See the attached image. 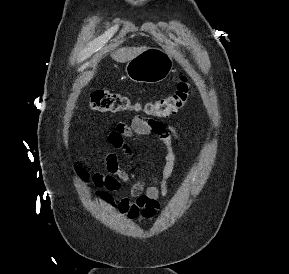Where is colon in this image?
I'll list each match as a JSON object with an SVG mask.
<instances>
[{
    "label": "colon",
    "mask_w": 289,
    "mask_h": 274,
    "mask_svg": "<svg viewBox=\"0 0 289 274\" xmlns=\"http://www.w3.org/2000/svg\"><path fill=\"white\" fill-rule=\"evenodd\" d=\"M190 96V83L186 75H182L176 89L170 96L148 102L143 106L134 104L128 97L106 89H97L90 94V107L100 112H118L143 110L150 117H169L180 111ZM85 177V173L80 171Z\"/></svg>",
    "instance_id": "obj_1"
}]
</instances>
